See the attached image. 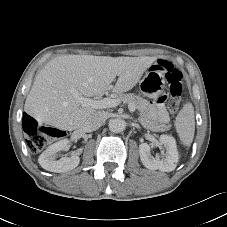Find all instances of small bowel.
<instances>
[{
	"mask_svg": "<svg viewBox=\"0 0 227 227\" xmlns=\"http://www.w3.org/2000/svg\"><path fill=\"white\" fill-rule=\"evenodd\" d=\"M169 100V95L167 93H162L160 99H157L154 103L150 105V110L153 117L160 123H165L168 121V114L164 106V102Z\"/></svg>",
	"mask_w": 227,
	"mask_h": 227,
	"instance_id": "small-bowel-1",
	"label": "small bowel"
}]
</instances>
